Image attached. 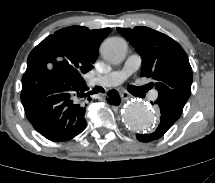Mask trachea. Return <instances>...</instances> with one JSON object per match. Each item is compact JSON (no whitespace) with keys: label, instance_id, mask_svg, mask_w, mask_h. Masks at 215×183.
I'll return each mask as SVG.
<instances>
[{"label":"trachea","instance_id":"3493384b","mask_svg":"<svg viewBox=\"0 0 215 183\" xmlns=\"http://www.w3.org/2000/svg\"><path fill=\"white\" fill-rule=\"evenodd\" d=\"M142 89H144V90H148V87H147V86H145V87H143Z\"/></svg>","mask_w":215,"mask_h":183}]
</instances>
